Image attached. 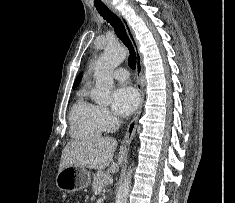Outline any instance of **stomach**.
<instances>
[{"label":"stomach","instance_id":"1","mask_svg":"<svg viewBox=\"0 0 235 203\" xmlns=\"http://www.w3.org/2000/svg\"><path fill=\"white\" fill-rule=\"evenodd\" d=\"M91 182L90 172L82 166H69L59 171L56 176L57 187L67 193L85 189Z\"/></svg>","mask_w":235,"mask_h":203}]
</instances>
